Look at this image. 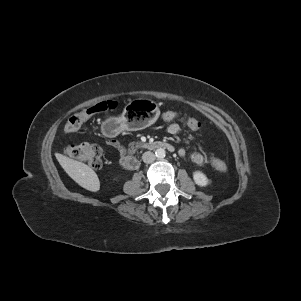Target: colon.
Returning a JSON list of instances; mask_svg holds the SVG:
<instances>
[{
  "instance_id": "5ec220e1",
  "label": "colon",
  "mask_w": 301,
  "mask_h": 301,
  "mask_svg": "<svg viewBox=\"0 0 301 301\" xmlns=\"http://www.w3.org/2000/svg\"><path fill=\"white\" fill-rule=\"evenodd\" d=\"M116 106V102L107 100L91 105L83 111L74 113L65 125V133L71 134L77 131L89 116L99 112L113 110ZM157 111H162L164 116L169 119H177L179 117V114L175 111H171V108L167 105L158 106ZM186 123L188 127L194 131H198L201 128L200 121L194 117H188ZM64 153L68 157L82 161L95 169L100 168L103 163L102 150L99 146L94 144L81 143L69 145L64 149ZM209 162L211 166L219 172H225L227 169L226 164L221 160L210 158Z\"/></svg>"
}]
</instances>
